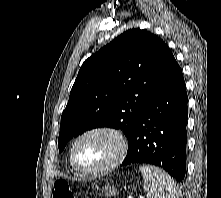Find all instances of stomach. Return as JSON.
I'll use <instances>...</instances> for the list:
<instances>
[{
  "label": "stomach",
  "instance_id": "stomach-1",
  "mask_svg": "<svg viewBox=\"0 0 221 198\" xmlns=\"http://www.w3.org/2000/svg\"><path fill=\"white\" fill-rule=\"evenodd\" d=\"M102 193L107 197L114 196L117 194V189L114 186L108 184L103 187Z\"/></svg>",
  "mask_w": 221,
  "mask_h": 198
}]
</instances>
